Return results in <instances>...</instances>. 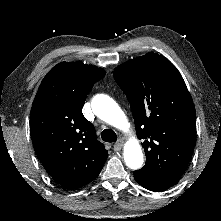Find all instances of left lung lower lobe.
Masks as SVG:
<instances>
[{"mask_svg":"<svg viewBox=\"0 0 221 221\" xmlns=\"http://www.w3.org/2000/svg\"><path fill=\"white\" fill-rule=\"evenodd\" d=\"M134 178L141 186L155 192L166 190L179 181V179H142L135 174Z\"/></svg>","mask_w":221,"mask_h":221,"instance_id":"obj_1","label":"left lung lower lobe"}]
</instances>
